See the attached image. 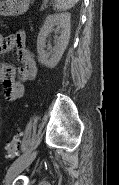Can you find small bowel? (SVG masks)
Masks as SVG:
<instances>
[{
  "instance_id": "c3829d8e",
  "label": "small bowel",
  "mask_w": 119,
  "mask_h": 185,
  "mask_svg": "<svg viewBox=\"0 0 119 185\" xmlns=\"http://www.w3.org/2000/svg\"><path fill=\"white\" fill-rule=\"evenodd\" d=\"M16 50L17 58L21 66L16 69L2 62L0 64L1 83L5 89V96L8 100H16L23 96L24 85L33 80L37 75V64L33 54L26 47V34L23 31H17L2 37L0 44V53L6 54ZM17 74V77H16ZM6 80H9L6 83Z\"/></svg>"
}]
</instances>
